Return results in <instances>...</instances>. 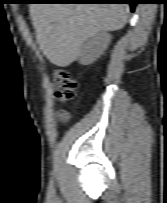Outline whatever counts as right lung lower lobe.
Wrapping results in <instances>:
<instances>
[{
    "instance_id": "98d812e1",
    "label": "right lung lower lobe",
    "mask_w": 167,
    "mask_h": 203,
    "mask_svg": "<svg viewBox=\"0 0 167 203\" xmlns=\"http://www.w3.org/2000/svg\"><path fill=\"white\" fill-rule=\"evenodd\" d=\"M80 3H117V4H130L131 11L135 10L136 0H83Z\"/></svg>"
}]
</instances>
